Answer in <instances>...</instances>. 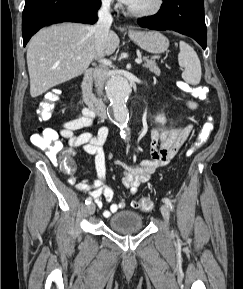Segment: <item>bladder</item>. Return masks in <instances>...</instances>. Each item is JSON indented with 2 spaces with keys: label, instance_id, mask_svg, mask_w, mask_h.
<instances>
[{
  "label": "bladder",
  "instance_id": "bladder-1",
  "mask_svg": "<svg viewBox=\"0 0 243 289\" xmlns=\"http://www.w3.org/2000/svg\"><path fill=\"white\" fill-rule=\"evenodd\" d=\"M108 226L116 232L137 231L143 227V218L137 212L124 210L113 214L108 219Z\"/></svg>",
  "mask_w": 243,
  "mask_h": 289
}]
</instances>
